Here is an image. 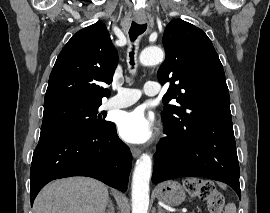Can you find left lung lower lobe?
Segmentation results:
<instances>
[{
	"label": "left lung lower lobe",
	"mask_w": 270,
	"mask_h": 213,
	"mask_svg": "<svg viewBox=\"0 0 270 213\" xmlns=\"http://www.w3.org/2000/svg\"><path fill=\"white\" fill-rule=\"evenodd\" d=\"M156 152L152 182L205 177L230 185L241 199L233 130L196 127L182 136L167 129Z\"/></svg>",
	"instance_id": "left-lung-lower-lobe-1"
}]
</instances>
